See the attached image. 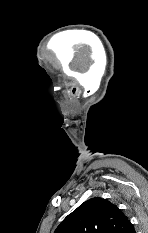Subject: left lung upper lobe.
I'll use <instances>...</instances> for the list:
<instances>
[{
    "label": "left lung upper lobe",
    "mask_w": 148,
    "mask_h": 233,
    "mask_svg": "<svg viewBox=\"0 0 148 233\" xmlns=\"http://www.w3.org/2000/svg\"><path fill=\"white\" fill-rule=\"evenodd\" d=\"M133 225L107 199L91 198L69 214L54 233H129Z\"/></svg>",
    "instance_id": "5c2ea615"
}]
</instances>
